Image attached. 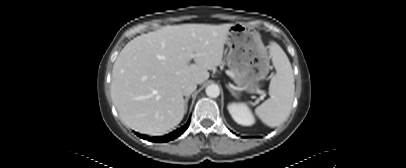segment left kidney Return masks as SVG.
Instances as JSON below:
<instances>
[{"label":"left kidney","mask_w":406,"mask_h":168,"mask_svg":"<svg viewBox=\"0 0 406 168\" xmlns=\"http://www.w3.org/2000/svg\"><path fill=\"white\" fill-rule=\"evenodd\" d=\"M227 108L234 121L238 124L250 126L255 123L254 116L246 104L231 103Z\"/></svg>","instance_id":"1"}]
</instances>
